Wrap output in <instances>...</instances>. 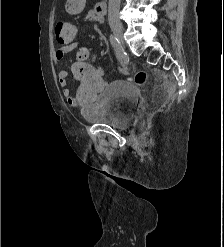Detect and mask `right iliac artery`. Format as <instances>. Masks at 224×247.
I'll use <instances>...</instances> for the list:
<instances>
[{
	"mask_svg": "<svg viewBox=\"0 0 224 247\" xmlns=\"http://www.w3.org/2000/svg\"><path fill=\"white\" fill-rule=\"evenodd\" d=\"M109 40H110L112 47L114 48L117 58L119 60H122L124 53H123V49L120 45L119 40L113 34L110 35Z\"/></svg>",
	"mask_w": 224,
	"mask_h": 247,
	"instance_id": "right-iliac-artery-1",
	"label": "right iliac artery"
}]
</instances>
